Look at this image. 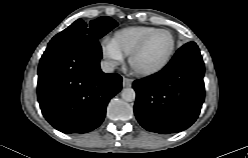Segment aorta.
Returning <instances> with one entry per match:
<instances>
[{
  "mask_svg": "<svg viewBox=\"0 0 248 158\" xmlns=\"http://www.w3.org/2000/svg\"><path fill=\"white\" fill-rule=\"evenodd\" d=\"M121 97L123 100L131 102L135 100L136 93L133 88H124L121 92Z\"/></svg>",
  "mask_w": 248,
  "mask_h": 158,
  "instance_id": "obj_1",
  "label": "aorta"
}]
</instances>
